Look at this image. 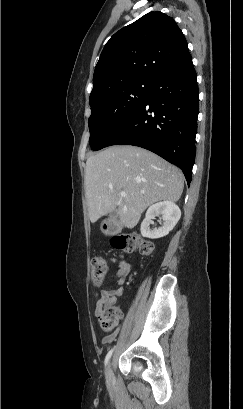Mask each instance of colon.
Returning <instances> with one entry per match:
<instances>
[{"instance_id":"obj_1","label":"colon","mask_w":243,"mask_h":409,"mask_svg":"<svg viewBox=\"0 0 243 409\" xmlns=\"http://www.w3.org/2000/svg\"><path fill=\"white\" fill-rule=\"evenodd\" d=\"M110 245L114 250L125 253H131L137 248L142 255H150L154 249L152 242L143 240L140 236L135 234L114 236L110 240ZM107 270L108 267L104 259H93L90 264L92 283L96 286H100L107 274ZM97 315L101 328L106 332L112 331L115 324L121 318L120 311L110 302L103 303Z\"/></svg>"}]
</instances>
